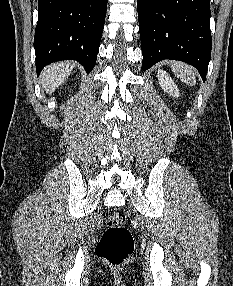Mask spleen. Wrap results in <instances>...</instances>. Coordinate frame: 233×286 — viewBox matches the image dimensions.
I'll list each match as a JSON object with an SVG mask.
<instances>
[{
	"label": "spleen",
	"instance_id": "3e777b00",
	"mask_svg": "<svg viewBox=\"0 0 233 286\" xmlns=\"http://www.w3.org/2000/svg\"><path fill=\"white\" fill-rule=\"evenodd\" d=\"M172 71L181 81L186 83L189 86H194L196 84L195 71L193 67L183 62H172L171 63Z\"/></svg>",
	"mask_w": 233,
	"mask_h": 286
}]
</instances>
